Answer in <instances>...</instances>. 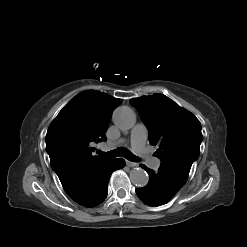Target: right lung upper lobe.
Instances as JSON below:
<instances>
[{"instance_id": "right-lung-upper-lobe-1", "label": "right lung upper lobe", "mask_w": 247, "mask_h": 247, "mask_svg": "<svg viewBox=\"0 0 247 247\" xmlns=\"http://www.w3.org/2000/svg\"><path fill=\"white\" fill-rule=\"evenodd\" d=\"M121 102L100 91H84L69 101L50 124L46 151L62 185L110 160L92 155L95 148L91 142L106 140L112 112Z\"/></svg>"}]
</instances>
